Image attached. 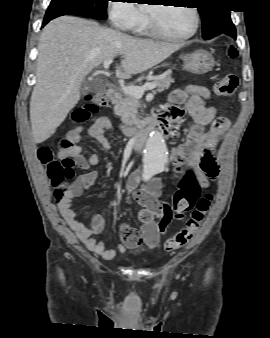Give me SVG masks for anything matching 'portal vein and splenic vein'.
Instances as JSON below:
<instances>
[{
  "label": "portal vein and splenic vein",
  "instance_id": "obj_1",
  "mask_svg": "<svg viewBox=\"0 0 270 338\" xmlns=\"http://www.w3.org/2000/svg\"><path fill=\"white\" fill-rule=\"evenodd\" d=\"M113 58L107 59L103 62L104 69H108L109 65L112 63ZM157 81L147 83L143 86H127L122 88L123 92L130 94L136 98H141L146 90H152L157 86Z\"/></svg>",
  "mask_w": 270,
  "mask_h": 338
}]
</instances>
